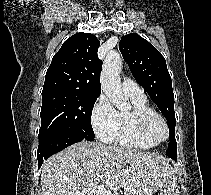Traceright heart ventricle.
Wrapping results in <instances>:
<instances>
[{"label":"right heart ventricle","mask_w":211,"mask_h":195,"mask_svg":"<svg viewBox=\"0 0 211 195\" xmlns=\"http://www.w3.org/2000/svg\"><path fill=\"white\" fill-rule=\"evenodd\" d=\"M133 108L131 111L117 112V126L113 141L122 147L148 150L153 148L152 145L145 142L137 133L135 117L137 114L155 112L148 103L146 96L126 95Z\"/></svg>","instance_id":"1"}]
</instances>
